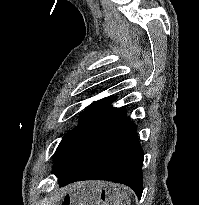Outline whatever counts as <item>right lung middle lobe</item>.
I'll use <instances>...</instances> for the list:
<instances>
[{
    "label": "right lung middle lobe",
    "instance_id": "1",
    "mask_svg": "<svg viewBox=\"0 0 199 205\" xmlns=\"http://www.w3.org/2000/svg\"><path fill=\"white\" fill-rule=\"evenodd\" d=\"M79 121L80 124L63 137L55 152V175L61 173L81 155L104 142L125 123L122 119L90 111L82 112Z\"/></svg>",
    "mask_w": 199,
    "mask_h": 205
}]
</instances>
